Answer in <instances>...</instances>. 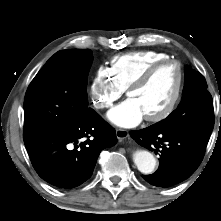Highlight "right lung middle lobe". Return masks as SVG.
<instances>
[{
  "mask_svg": "<svg viewBox=\"0 0 221 221\" xmlns=\"http://www.w3.org/2000/svg\"><path fill=\"white\" fill-rule=\"evenodd\" d=\"M89 49L55 53L30 83L24 100V137L65 131L88 112Z\"/></svg>",
  "mask_w": 221,
  "mask_h": 221,
  "instance_id": "dd1d6c3e",
  "label": "right lung middle lobe"
}]
</instances>
